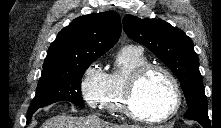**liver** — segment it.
Returning a JSON list of instances; mask_svg holds the SVG:
<instances>
[{"instance_id": "obj_1", "label": "liver", "mask_w": 221, "mask_h": 128, "mask_svg": "<svg viewBox=\"0 0 221 128\" xmlns=\"http://www.w3.org/2000/svg\"><path fill=\"white\" fill-rule=\"evenodd\" d=\"M41 128H146L140 125H114L96 115L72 117L57 115L45 121Z\"/></svg>"}]
</instances>
